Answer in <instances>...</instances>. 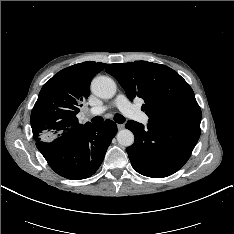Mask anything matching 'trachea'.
<instances>
[{
    "instance_id": "obj_1",
    "label": "trachea",
    "mask_w": 234,
    "mask_h": 234,
    "mask_svg": "<svg viewBox=\"0 0 234 234\" xmlns=\"http://www.w3.org/2000/svg\"><path fill=\"white\" fill-rule=\"evenodd\" d=\"M103 120L104 119L101 116H95L91 121L93 123H102ZM114 121L116 123H123V122H125V118L121 114H115L114 115Z\"/></svg>"
}]
</instances>
